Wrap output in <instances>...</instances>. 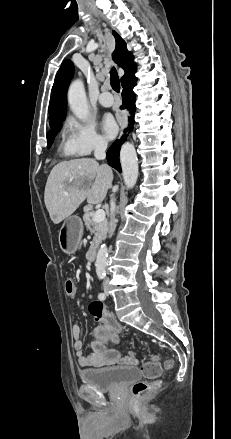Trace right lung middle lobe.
<instances>
[{
	"instance_id": "right-lung-middle-lobe-1",
	"label": "right lung middle lobe",
	"mask_w": 231,
	"mask_h": 439,
	"mask_svg": "<svg viewBox=\"0 0 231 439\" xmlns=\"http://www.w3.org/2000/svg\"><path fill=\"white\" fill-rule=\"evenodd\" d=\"M61 126L62 125L59 124V125H56L54 127H51L50 131L47 133V141H48L47 147L48 148L52 145L53 138L57 134V132L61 129Z\"/></svg>"
}]
</instances>
